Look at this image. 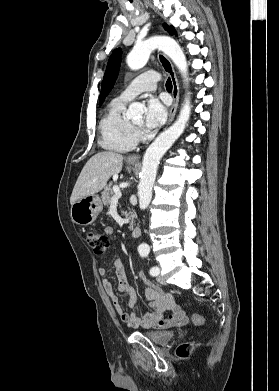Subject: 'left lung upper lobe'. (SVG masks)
Here are the masks:
<instances>
[{"label":"left lung upper lobe","mask_w":279,"mask_h":391,"mask_svg":"<svg viewBox=\"0 0 279 391\" xmlns=\"http://www.w3.org/2000/svg\"><path fill=\"white\" fill-rule=\"evenodd\" d=\"M165 29L169 31L170 34H175V29L173 26L168 27L166 24L164 25ZM122 50L120 48L113 51L111 54L106 72L104 74V78L102 81L101 93L99 97V104L101 105L105 97L111 91L114 86V83L118 77L120 62H121Z\"/></svg>","instance_id":"left-lung-upper-lobe-1"}]
</instances>
